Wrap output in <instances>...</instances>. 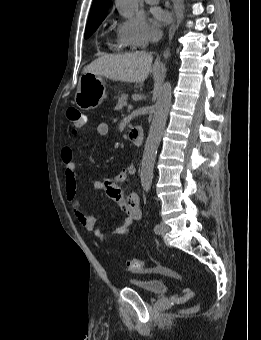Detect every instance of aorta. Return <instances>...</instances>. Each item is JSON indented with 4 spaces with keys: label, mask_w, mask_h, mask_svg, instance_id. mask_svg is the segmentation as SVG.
I'll list each match as a JSON object with an SVG mask.
<instances>
[{
    "label": "aorta",
    "mask_w": 261,
    "mask_h": 340,
    "mask_svg": "<svg viewBox=\"0 0 261 340\" xmlns=\"http://www.w3.org/2000/svg\"><path fill=\"white\" fill-rule=\"evenodd\" d=\"M116 5L120 14L124 17H131L138 8L137 0H116ZM171 99V84L170 82H165L156 95V102L153 108V119L142 157L141 185L146 192L150 190L152 185L156 154L165 129L171 106Z\"/></svg>",
    "instance_id": "obj_1"
}]
</instances>
